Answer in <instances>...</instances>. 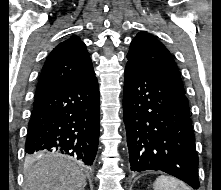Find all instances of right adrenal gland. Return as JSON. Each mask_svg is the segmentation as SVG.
Listing matches in <instances>:
<instances>
[{"label": "right adrenal gland", "instance_id": "1", "mask_svg": "<svg viewBox=\"0 0 221 190\" xmlns=\"http://www.w3.org/2000/svg\"><path fill=\"white\" fill-rule=\"evenodd\" d=\"M85 186H83L82 188H80L79 190H84Z\"/></svg>", "mask_w": 221, "mask_h": 190}]
</instances>
